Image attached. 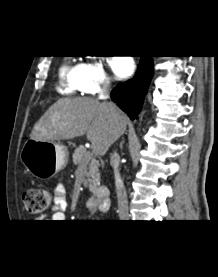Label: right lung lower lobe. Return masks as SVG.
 Wrapping results in <instances>:
<instances>
[{"label": "right lung lower lobe", "instance_id": "1", "mask_svg": "<svg viewBox=\"0 0 218 277\" xmlns=\"http://www.w3.org/2000/svg\"><path fill=\"white\" fill-rule=\"evenodd\" d=\"M152 74L153 61L151 56H141L140 64L134 78L124 84H119L111 92L113 101L131 119H135L141 110Z\"/></svg>", "mask_w": 218, "mask_h": 277}]
</instances>
